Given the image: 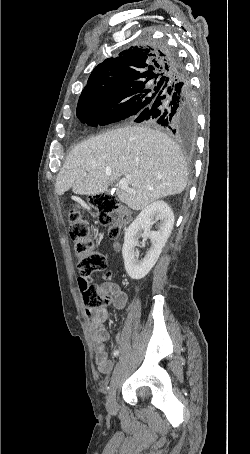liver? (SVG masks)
<instances>
[{"label": "liver", "mask_w": 250, "mask_h": 454, "mask_svg": "<svg viewBox=\"0 0 250 454\" xmlns=\"http://www.w3.org/2000/svg\"><path fill=\"white\" fill-rule=\"evenodd\" d=\"M122 176H130L134 193L118 190L119 200L141 210L182 193L187 165L179 146L166 134L144 126L118 128L76 145L58 173L55 188L58 195L71 188L78 195H95Z\"/></svg>", "instance_id": "liver-1"}]
</instances>
